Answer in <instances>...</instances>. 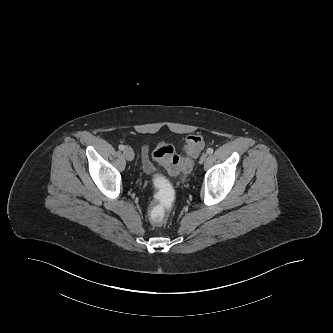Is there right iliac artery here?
Listing matches in <instances>:
<instances>
[{
	"mask_svg": "<svg viewBox=\"0 0 333 333\" xmlns=\"http://www.w3.org/2000/svg\"><path fill=\"white\" fill-rule=\"evenodd\" d=\"M118 148H119V150L123 151L125 149V146L124 145H119Z\"/></svg>",
	"mask_w": 333,
	"mask_h": 333,
	"instance_id": "right-iliac-artery-1",
	"label": "right iliac artery"
}]
</instances>
